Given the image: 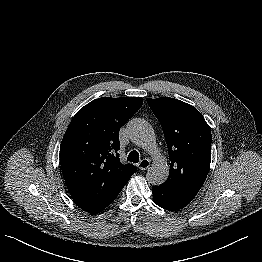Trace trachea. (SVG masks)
<instances>
[{
	"instance_id": "trachea-1",
	"label": "trachea",
	"mask_w": 262,
	"mask_h": 262,
	"mask_svg": "<svg viewBox=\"0 0 262 262\" xmlns=\"http://www.w3.org/2000/svg\"><path fill=\"white\" fill-rule=\"evenodd\" d=\"M127 160L133 163L139 162V153L136 150H133L129 153Z\"/></svg>"
}]
</instances>
